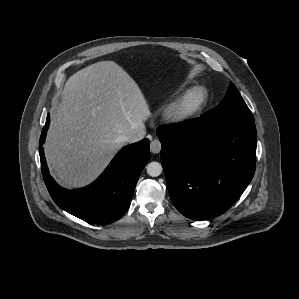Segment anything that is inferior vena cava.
<instances>
[{"instance_id": "602c4592", "label": "inferior vena cava", "mask_w": 299, "mask_h": 299, "mask_svg": "<svg viewBox=\"0 0 299 299\" xmlns=\"http://www.w3.org/2000/svg\"><path fill=\"white\" fill-rule=\"evenodd\" d=\"M145 134H146L145 127L141 126L135 132H133L132 134L121 136L120 141L123 142V143H125V142H129V143L137 142V141L143 139Z\"/></svg>"}]
</instances>
